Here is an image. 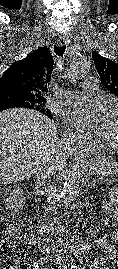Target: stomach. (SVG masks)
Wrapping results in <instances>:
<instances>
[{
	"label": "stomach",
	"mask_w": 118,
	"mask_h": 269,
	"mask_svg": "<svg viewBox=\"0 0 118 269\" xmlns=\"http://www.w3.org/2000/svg\"><path fill=\"white\" fill-rule=\"evenodd\" d=\"M89 167L94 174L102 177L113 176L118 172V162L109 156L97 158Z\"/></svg>",
	"instance_id": "stomach-1"
}]
</instances>
